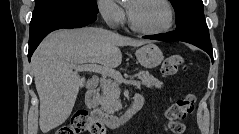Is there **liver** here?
<instances>
[{"label": "liver", "instance_id": "obj_1", "mask_svg": "<svg viewBox=\"0 0 239 134\" xmlns=\"http://www.w3.org/2000/svg\"><path fill=\"white\" fill-rule=\"evenodd\" d=\"M136 40L103 28L58 30L49 34L32 56L31 65L40 99L39 125L43 134L70 116L85 78L73 71L75 64L98 63L115 68L122 62L121 46H141Z\"/></svg>", "mask_w": 239, "mask_h": 134}]
</instances>
